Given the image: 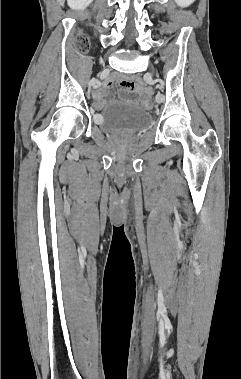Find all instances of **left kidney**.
Returning <instances> with one entry per match:
<instances>
[{
  "mask_svg": "<svg viewBox=\"0 0 241 379\" xmlns=\"http://www.w3.org/2000/svg\"><path fill=\"white\" fill-rule=\"evenodd\" d=\"M195 0H175V2L181 6V7H188L191 5Z\"/></svg>",
  "mask_w": 241,
  "mask_h": 379,
  "instance_id": "left-kidney-1",
  "label": "left kidney"
}]
</instances>
